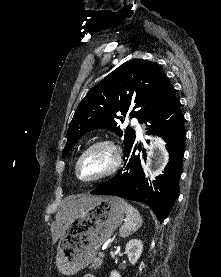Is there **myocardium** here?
<instances>
[{"instance_id":"f54148a6","label":"myocardium","mask_w":221,"mask_h":277,"mask_svg":"<svg viewBox=\"0 0 221 277\" xmlns=\"http://www.w3.org/2000/svg\"><path fill=\"white\" fill-rule=\"evenodd\" d=\"M98 148H104L110 152L111 163H110L109 167L104 172H102L101 174H99L93 178L84 179V178L80 177L79 166H80L81 161L87 154H89L90 152H92L93 150L98 149ZM121 163H122V150H121L120 146L110 139H102V140L96 141V142L92 143L91 145H89L79 155V157L77 158L76 163H75L74 171H75L76 177L80 181L85 182V183H93V182H97L102 179H105V178L111 176L112 174H114L120 167Z\"/></svg>"}]
</instances>
